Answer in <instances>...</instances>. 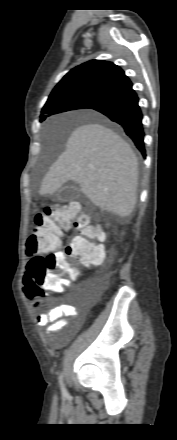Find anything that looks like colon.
<instances>
[{
	"instance_id": "5ec220e1",
	"label": "colon",
	"mask_w": 177,
	"mask_h": 440,
	"mask_svg": "<svg viewBox=\"0 0 177 440\" xmlns=\"http://www.w3.org/2000/svg\"><path fill=\"white\" fill-rule=\"evenodd\" d=\"M78 229L80 235L72 240L65 251H57L63 230ZM101 231L91 224V216L80 210L78 203L53 205L35 216L33 232L26 244L31 257L25 274V291L29 297L39 296L41 287L59 291L67 284L64 275L71 273V261L97 266L103 258V249L96 244ZM46 254V255H42ZM73 278H78L71 273Z\"/></svg>"
}]
</instances>
